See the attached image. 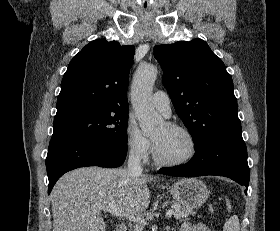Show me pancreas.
Here are the masks:
<instances>
[{
	"mask_svg": "<svg viewBox=\"0 0 280 231\" xmlns=\"http://www.w3.org/2000/svg\"><path fill=\"white\" fill-rule=\"evenodd\" d=\"M167 203H171V207L174 211V217L176 219H182V217H187L189 213H195V211H192V209H189V207H185V205H181V203H177V201H165L164 205H167ZM142 229V223L141 225H135L134 231H141Z\"/></svg>",
	"mask_w": 280,
	"mask_h": 231,
	"instance_id": "obj_1",
	"label": "pancreas"
}]
</instances>
